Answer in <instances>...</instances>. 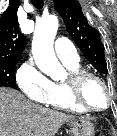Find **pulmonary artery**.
<instances>
[{
  "mask_svg": "<svg viewBox=\"0 0 117 136\" xmlns=\"http://www.w3.org/2000/svg\"><path fill=\"white\" fill-rule=\"evenodd\" d=\"M55 53L63 63H78L79 56L74 45L66 38L59 37L54 45Z\"/></svg>",
  "mask_w": 117,
  "mask_h": 136,
  "instance_id": "e3ab8cb5",
  "label": "pulmonary artery"
}]
</instances>
